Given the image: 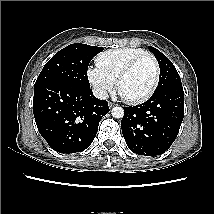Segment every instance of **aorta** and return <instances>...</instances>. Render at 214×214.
Segmentation results:
<instances>
[{
    "label": "aorta",
    "mask_w": 214,
    "mask_h": 214,
    "mask_svg": "<svg viewBox=\"0 0 214 214\" xmlns=\"http://www.w3.org/2000/svg\"><path fill=\"white\" fill-rule=\"evenodd\" d=\"M112 116L118 119L122 118L124 116L123 108L118 106L112 108Z\"/></svg>",
    "instance_id": "1"
}]
</instances>
